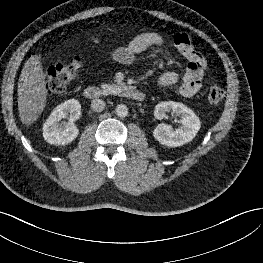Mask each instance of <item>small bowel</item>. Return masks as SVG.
Returning a JSON list of instances; mask_svg holds the SVG:
<instances>
[{"mask_svg":"<svg viewBox=\"0 0 263 263\" xmlns=\"http://www.w3.org/2000/svg\"><path fill=\"white\" fill-rule=\"evenodd\" d=\"M150 47L177 49L188 60V65L182 78L176 71H167L158 78L160 87L174 85L181 79V85L177 90L180 96L192 97L198 93L201 89L207 62L202 54L195 49L189 36L186 34H177L171 41H167L156 32L142 33L126 46L113 48L109 52V57L120 64L129 65L134 61L136 55Z\"/></svg>","mask_w":263,"mask_h":263,"instance_id":"obj_1","label":"small bowel"}]
</instances>
